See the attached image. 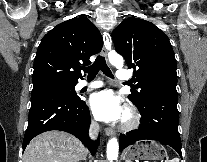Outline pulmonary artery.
I'll return each mask as SVG.
<instances>
[{
    "label": "pulmonary artery",
    "mask_w": 207,
    "mask_h": 162,
    "mask_svg": "<svg viewBox=\"0 0 207 162\" xmlns=\"http://www.w3.org/2000/svg\"><path fill=\"white\" fill-rule=\"evenodd\" d=\"M116 77L117 79L126 84V81L129 79L130 77V74L122 71V70H119L116 72ZM78 88L79 89H83V88H89V89H96V88H100L103 86V83L101 81H92V82H87V81H81L78 83Z\"/></svg>",
    "instance_id": "1"
}]
</instances>
